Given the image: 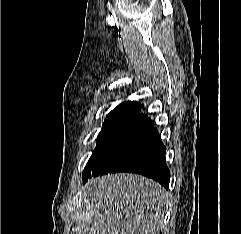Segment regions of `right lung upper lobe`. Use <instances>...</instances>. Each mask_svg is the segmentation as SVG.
Instances as JSON below:
<instances>
[{
	"label": "right lung upper lobe",
	"mask_w": 241,
	"mask_h": 234,
	"mask_svg": "<svg viewBox=\"0 0 241 234\" xmlns=\"http://www.w3.org/2000/svg\"><path fill=\"white\" fill-rule=\"evenodd\" d=\"M121 105H135V106H140V103L128 101V102L122 103Z\"/></svg>",
	"instance_id": "1"
}]
</instances>
